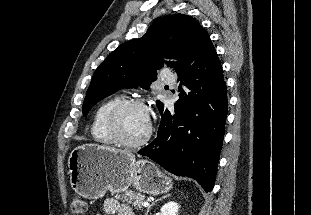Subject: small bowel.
<instances>
[{
    "label": "small bowel",
    "instance_id": "small-bowel-1",
    "mask_svg": "<svg viewBox=\"0 0 311 215\" xmlns=\"http://www.w3.org/2000/svg\"><path fill=\"white\" fill-rule=\"evenodd\" d=\"M95 215H134L130 206L118 202L116 199H107L104 203V212Z\"/></svg>",
    "mask_w": 311,
    "mask_h": 215
}]
</instances>
